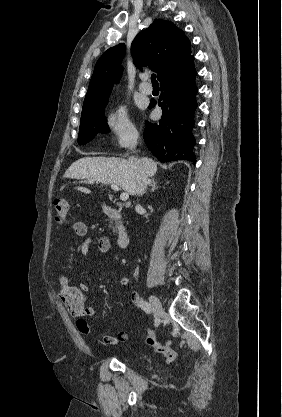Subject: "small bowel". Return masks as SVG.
Wrapping results in <instances>:
<instances>
[{
    "instance_id": "obj_1",
    "label": "small bowel",
    "mask_w": 282,
    "mask_h": 417,
    "mask_svg": "<svg viewBox=\"0 0 282 417\" xmlns=\"http://www.w3.org/2000/svg\"><path fill=\"white\" fill-rule=\"evenodd\" d=\"M73 232L84 240L79 245L77 252L86 258H90L91 248H96L99 254H106L109 252L111 243L106 236H92L88 235V227L83 221H74L72 223ZM121 286L127 288L130 286V280L127 277L121 279ZM87 285L81 283L78 287L69 284L67 277L60 278V289L58 296L60 301L66 307L69 314L75 317L76 327L81 334L90 335L91 327L85 318L92 317L96 314V309L93 306L86 304ZM131 301L135 303L138 295L135 292L130 294ZM129 337L128 331H120L116 337L103 334L102 340L108 345H117L120 342L127 340Z\"/></svg>"
}]
</instances>
